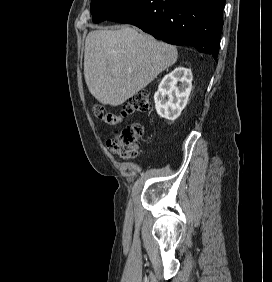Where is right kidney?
Instances as JSON below:
<instances>
[{"label":"right kidney","mask_w":272,"mask_h":282,"mask_svg":"<svg viewBox=\"0 0 272 282\" xmlns=\"http://www.w3.org/2000/svg\"><path fill=\"white\" fill-rule=\"evenodd\" d=\"M192 80L191 70L185 67H177L164 76L154 95L155 108L160 117L174 121L180 116L188 102ZM178 82L180 86H177Z\"/></svg>","instance_id":"obj_1"}]
</instances>
